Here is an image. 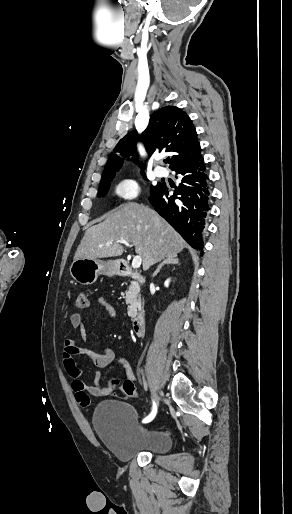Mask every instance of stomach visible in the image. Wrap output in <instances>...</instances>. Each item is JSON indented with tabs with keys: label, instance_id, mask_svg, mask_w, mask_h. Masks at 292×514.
<instances>
[{
	"label": "stomach",
	"instance_id": "stomach-1",
	"mask_svg": "<svg viewBox=\"0 0 292 514\" xmlns=\"http://www.w3.org/2000/svg\"><path fill=\"white\" fill-rule=\"evenodd\" d=\"M70 274L76 282L82 286H90L96 282L98 276H117L119 274V266L117 260H90V258H78L71 264Z\"/></svg>",
	"mask_w": 292,
	"mask_h": 514
}]
</instances>
